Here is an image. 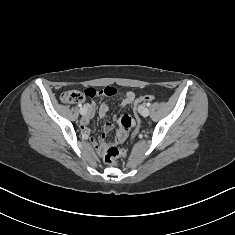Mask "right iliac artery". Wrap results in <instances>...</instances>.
<instances>
[{
	"label": "right iliac artery",
	"instance_id": "82829eb1",
	"mask_svg": "<svg viewBox=\"0 0 235 235\" xmlns=\"http://www.w3.org/2000/svg\"><path fill=\"white\" fill-rule=\"evenodd\" d=\"M78 106H79L80 108L82 107V105H81V104H79Z\"/></svg>",
	"mask_w": 235,
	"mask_h": 235
}]
</instances>
